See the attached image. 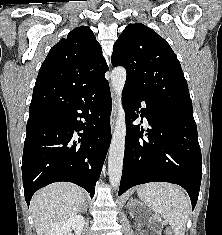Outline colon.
Segmentation results:
<instances>
[{
	"label": "colon",
	"mask_w": 222,
	"mask_h": 235,
	"mask_svg": "<svg viewBox=\"0 0 222 235\" xmlns=\"http://www.w3.org/2000/svg\"><path fill=\"white\" fill-rule=\"evenodd\" d=\"M167 235H172V233L168 232Z\"/></svg>",
	"instance_id": "1"
}]
</instances>
